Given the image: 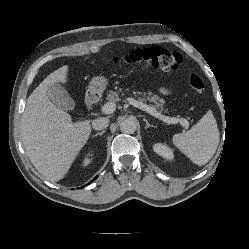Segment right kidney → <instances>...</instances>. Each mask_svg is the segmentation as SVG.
<instances>
[{
  "instance_id": "ca27d5eb",
  "label": "right kidney",
  "mask_w": 249,
  "mask_h": 249,
  "mask_svg": "<svg viewBox=\"0 0 249 249\" xmlns=\"http://www.w3.org/2000/svg\"><path fill=\"white\" fill-rule=\"evenodd\" d=\"M89 156H91V154H88L85 159L83 160V165L87 166L90 163V158Z\"/></svg>"
}]
</instances>
